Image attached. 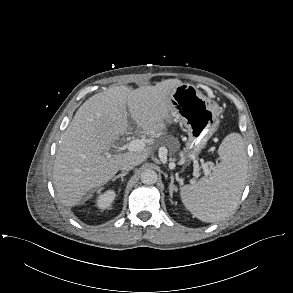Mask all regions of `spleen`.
<instances>
[{
  "label": "spleen",
  "mask_w": 293,
  "mask_h": 293,
  "mask_svg": "<svg viewBox=\"0 0 293 293\" xmlns=\"http://www.w3.org/2000/svg\"><path fill=\"white\" fill-rule=\"evenodd\" d=\"M220 163L209 177L180 189L184 206L199 220L217 222L236 208L247 175V157L238 133L224 138L218 149Z\"/></svg>",
  "instance_id": "spleen-1"
}]
</instances>
